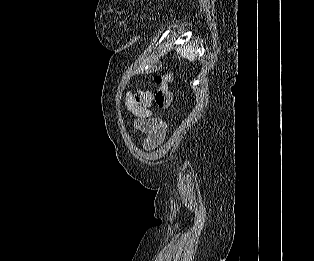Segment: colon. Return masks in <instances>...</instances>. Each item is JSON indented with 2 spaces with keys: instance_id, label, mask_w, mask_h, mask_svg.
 I'll return each mask as SVG.
<instances>
[{
  "instance_id": "1",
  "label": "colon",
  "mask_w": 314,
  "mask_h": 261,
  "mask_svg": "<svg viewBox=\"0 0 314 261\" xmlns=\"http://www.w3.org/2000/svg\"><path fill=\"white\" fill-rule=\"evenodd\" d=\"M172 79L173 75L171 72L157 73L154 76V81L158 86L154 95V103L161 109L168 108L172 102V94L170 91Z\"/></svg>"
}]
</instances>
